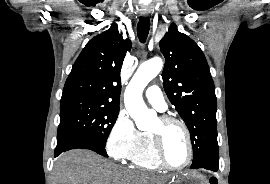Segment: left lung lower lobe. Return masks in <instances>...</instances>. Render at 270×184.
<instances>
[{
	"instance_id": "0a47b994",
	"label": "left lung lower lobe",
	"mask_w": 270,
	"mask_h": 184,
	"mask_svg": "<svg viewBox=\"0 0 270 184\" xmlns=\"http://www.w3.org/2000/svg\"><path fill=\"white\" fill-rule=\"evenodd\" d=\"M197 168H204L207 170L217 172L219 169V161H218V159L206 160L202 164H200ZM197 168L191 167V169H197Z\"/></svg>"
}]
</instances>
